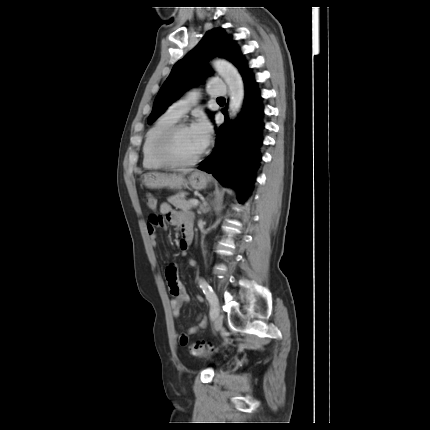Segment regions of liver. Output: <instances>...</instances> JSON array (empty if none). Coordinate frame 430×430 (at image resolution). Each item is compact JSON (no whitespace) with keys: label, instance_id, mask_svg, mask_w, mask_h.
Instances as JSON below:
<instances>
[{"label":"liver","instance_id":"liver-1","mask_svg":"<svg viewBox=\"0 0 430 430\" xmlns=\"http://www.w3.org/2000/svg\"><path fill=\"white\" fill-rule=\"evenodd\" d=\"M180 172H182L183 174H187L193 171V169H180Z\"/></svg>","mask_w":430,"mask_h":430}]
</instances>
